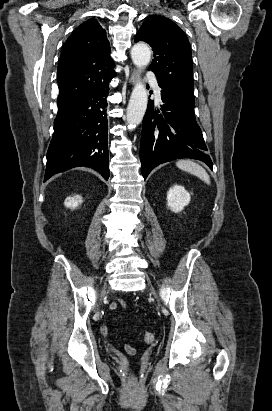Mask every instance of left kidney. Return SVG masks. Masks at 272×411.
I'll use <instances>...</instances> for the list:
<instances>
[{
	"label": "left kidney",
	"instance_id": "obj_1",
	"mask_svg": "<svg viewBox=\"0 0 272 411\" xmlns=\"http://www.w3.org/2000/svg\"><path fill=\"white\" fill-rule=\"evenodd\" d=\"M191 195L184 187L174 185L167 193V204L171 211L178 213L190 202Z\"/></svg>",
	"mask_w": 272,
	"mask_h": 411
}]
</instances>
